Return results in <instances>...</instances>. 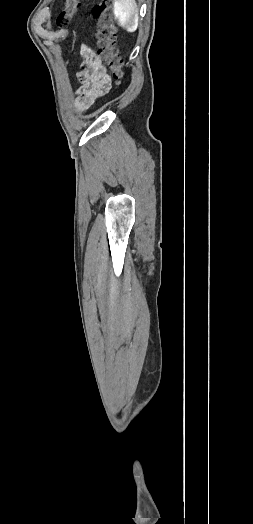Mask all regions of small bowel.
Here are the masks:
<instances>
[{
    "label": "small bowel",
    "instance_id": "1",
    "mask_svg": "<svg viewBox=\"0 0 253 524\" xmlns=\"http://www.w3.org/2000/svg\"><path fill=\"white\" fill-rule=\"evenodd\" d=\"M84 62L78 79L81 87L78 90L79 102L83 106L92 103L97 97L105 95L111 86V80L96 53L88 46L82 47Z\"/></svg>",
    "mask_w": 253,
    "mask_h": 524
}]
</instances>
